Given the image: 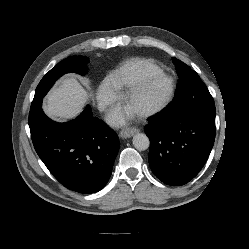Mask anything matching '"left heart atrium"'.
<instances>
[{"label": "left heart atrium", "mask_w": 249, "mask_h": 249, "mask_svg": "<svg viewBox=\"0 0 249 249\" xmlns=\"http://www.w3.org/2000/svg\"><path fill=\"white\" fill-rule=\"evenodd\" d=\"M132 116V111L126 108H119L111 114V121L115 124H122Z\"/></svg>", "instance_id": "39dd6f15"}]
</instances>
